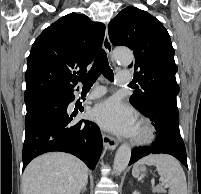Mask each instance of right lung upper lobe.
<instances>
[{
	"instance_id": "right-lung-upper-lobe-1",
	"label": "right lung upper lobe",
	"mask_w": 201,
	"mask_h": 194,
	"mask_svg": "<svg viewBox=\"0 0 201 194\" xmlns=\"http://www.w3.org/2000/svg\"><path fill=\"white\" fill-rule=\"evenodd\" d=\"M105 26L86 15L70 13L47 27L35 40L25 74L26 91H72L101 47Z\"/></svg>"
}]
</instances>
